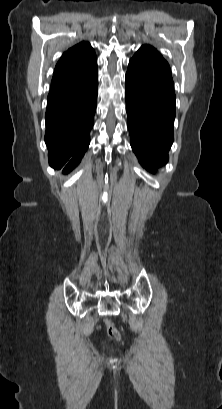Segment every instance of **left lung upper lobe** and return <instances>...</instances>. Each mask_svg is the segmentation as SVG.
<instances>
[{
	"label": "left lung upper lobe",
	"instance_id": "5c2ea615",
	"mask_svg": "<svg viewBox=\"0 0 222 409\" xmlns=\"http://www.w3.org/2000/svg\"><path fill=\"white\" fill-rule=\"evenodd\" d=\"M128 71L174 88L167 61L153 47L143 45L129 62Z\"/></svg>",
	"mask_w": 222,
	"mask_h": 409
}]
</instances>
